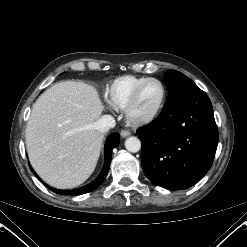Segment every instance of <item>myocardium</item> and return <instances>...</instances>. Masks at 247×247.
<instances>
[{"instance_id": "f54148a6", "label": "myocardium", "mask_w": 247, "mask_h": 247, "mask_svg": "<svg viewBox=\"0 0 247 247\" xmlns=\"http://www.w3.org/2000/svg\"><path fill=\"white\" fill-rule=\"evenodd\" d=\"M150 82H156L162 88V97H161L160 103H159L158 107L155 109V111L152 112L150 115H148L146 117H142V118H136L132 115V112H131L132 107L135 104V102H136L141 90L143 89V87ZM166 99H167V88H166L165 84L158 78H153V77L147 78L144 81H142L140 84H138L135 87V89L132 91L131 95L129 96V98H128V100H127V102L123 108L124 115L130 123L135 124V125H145V124L151 123L162 112V110L165 106V103H166Z\"/></svg>"}]
</instances>
